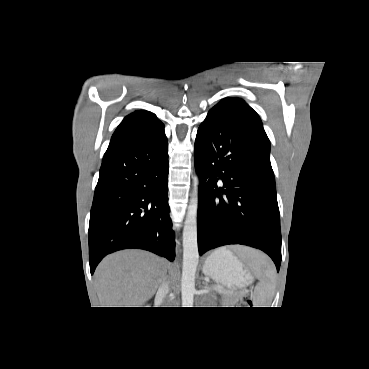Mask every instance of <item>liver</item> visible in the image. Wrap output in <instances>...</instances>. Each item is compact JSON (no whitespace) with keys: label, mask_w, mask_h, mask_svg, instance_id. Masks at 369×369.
<instances>
[{"label":"liver","mask_w":369,"mask_h":369,"mask_svg":"<svg viewBox=\"0 0 369 369\" xmlns=\"http://www.w3.org/2000/svg\"><path fill=\"white\" fill-rule=\"evenodd\" d=\"M246 251V248H242ZM168 263L142 250H123L105 257L95 271L103 307H140L156 293Z\"/></svg>","instance_id":"obj_1"}]
</instances>
